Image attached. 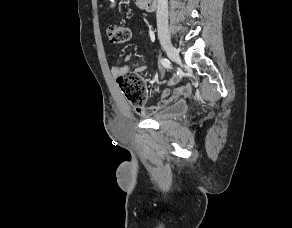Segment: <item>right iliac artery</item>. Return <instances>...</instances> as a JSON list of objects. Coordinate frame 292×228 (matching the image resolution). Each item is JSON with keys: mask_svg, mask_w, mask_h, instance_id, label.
Returning a JSON list of instances; mask_svg holds the SVG:
<instances>
[{"mask_svg": "<svg viewBox=\"0 0 292 228\" xmlns=\"http://www.w3.org/2000/svg\"><path fill=\"white\" fill-rule=\"evenodd\" d=\"M160 62L167 69H170L172 67L171 62L167 58H162Z\"/></svg>", "mask_w": 292, "mask_h": 228, "instance_id": "obj_1", "label": "right iliac artery"}]
</instances>
